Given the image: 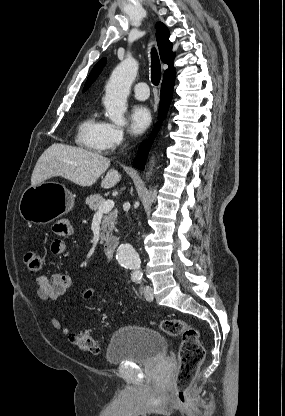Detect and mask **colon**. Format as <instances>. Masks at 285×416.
<instances>
[{
    "mask_svg": "<svg viewBox=\"0 0 285 416\" xmlns=\"http://www.w3.org/2000/svg\"><path fill=\"white\" fill-rule=\"evenodd\" d=\"M24 263L32 275L40 273L44 266V257L37 251H28L24 255ZM93 294L91 289L84 297L89 299ZM161 331L170 336H180L181 345L178 353L179 367L174 378L171 395L178 407L184 408L190 402L189 390L205 358V350L200 342L199 331L184 320L167 319L154 323ZM70 340L80 350L98 353L101 341L88 331L73 332Z\"/></svg>",
    "mask_w": 285,
    "mask_h": 416,
    "instance_id": "obj_1",
    "label": "colon"
}]
</instances>
